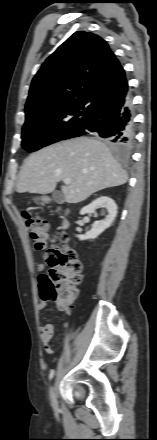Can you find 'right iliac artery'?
Returning <instances> with one entry per match:
<instances>
[{
    "label": "right iliac artery",
    "instance_id": "right-iliac-artery-1",
    "mask_svg": "<svg viewBox=\"0 0 157 440\" xmlns=\"http://www.w3.org/2000/svg\"><path fill=\"white\" fill-rule=\"evenodd\" d=\"M53 376H54V370H51V372L49 374V380L50 381L52 380Z\"/></svg>",
    "mask_w": 157,
    "mask_h": 440
}]
</instances>
